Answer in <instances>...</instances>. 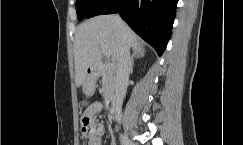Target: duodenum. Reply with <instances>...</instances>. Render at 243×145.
<instances>
[{
    "label": "duodenum",
    "instance_id": "obj_1",
    "mask_svg": "<svg viewBox=\"0 0 243 145\" xmlns=\"http://www.w3.org/2000/svg\"><path fill=\"white\" fill-rule=\"evenodd\" d=\"M109 70H110V68L105 65L99 64V65L91 66L88 70L90 83H93L96 78L100 77L101 75H103L104 73H106ZM106 107H107V111L110 114H114L117 109V101L114 98H109L107 100Z\"/></svg>",
    "mask_w": 243,
    "mask_h": 145
}]
</instances>
